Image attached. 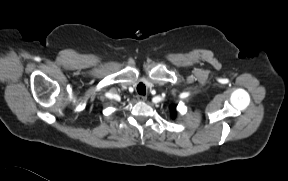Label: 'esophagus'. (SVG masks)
<instances>
[{"instance_id": "1", "label": "esophagus", "mask_w": 288, "mask_h": 181, "mask_svg": "<svg viewBox=\"0 0 288 181\" xmlns=\"http://www.w3.org/2000/svg\"><path fill=\"white\" fill-rule=\"evenodd\" d=\"M137 99H138V101H146L147 97L144 95H137Z\"/></svg>"}]
</instances>
